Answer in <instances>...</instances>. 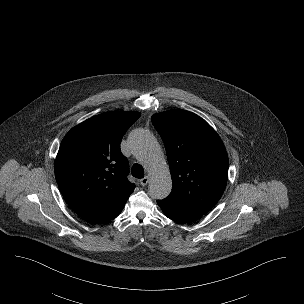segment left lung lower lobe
I'll return each instance as SVG.
<instances>
[{
  "mask_svg": "<svg viewBox=\"0 0 304 304\" xmlns=\"http://www.w3.org/2000/svg\"><path fill=\"white\" fill-rule=\"evenodd\" d=\"M157 203L161 207L164 214L176 222L189 223L203 216L201 213L189 210L166 198L163 200H158Z\"/></svg>",
  "mask_w": 304,
  "mask_h": 304,
  "instance_id": "1",
  "label": "left lung lower lobe"
}]
</instances>
